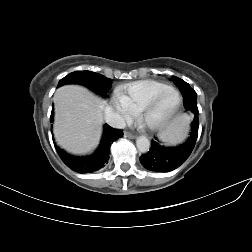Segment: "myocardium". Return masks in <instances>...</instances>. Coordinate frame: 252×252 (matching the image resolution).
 I'll return each mask as SVG.
<instances>
[{
  "mask_svg": "<svg viewBox=\"0 0 252 252\" xmlns=\"http://www.w3.org/2000/svg\"><path fill=\"white\" fill-rule=\"evenodd\" d=\"M169 95L174 97V103L172 104V106L167 110L165 114H163L159 118L152 121H148L147 116L154 110V108L160 102H162ZM180 105L181 97L179 93L175 89L169 88L168 90H165L156 95L155 97L151 98L137 111L138 121L148 130H161L170 123V121L178 111Z\"/></svg>",
  "mask_w": 252,
  "mask_h": 252,
  "instance_id": "1",
  "label": "myocardium"
}]
</instances>
